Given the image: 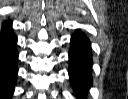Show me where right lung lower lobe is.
<instances>
[{
	"mask_svg": "<svg viewBox=\"0 0 128 99\" xmlns=\"http://www.w3.org/2000/svg\"><path fill=\"white\" fill-rule=\"evenodd\" d=\"M16 43L11 22L3 23L0 32V99H8L14 93L18 72Z\"/></svg>",
	"mask_w": 128,
	"mask_h": 99,
	"instance_id": "obj_1",
	"label": "right lung lower lobe"
}]
</instances>
